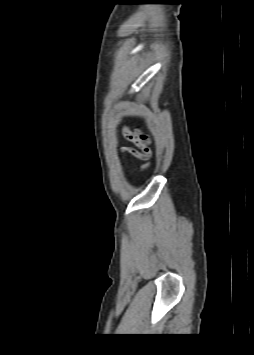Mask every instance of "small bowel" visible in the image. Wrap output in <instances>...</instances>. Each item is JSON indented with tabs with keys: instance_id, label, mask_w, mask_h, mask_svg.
I'll use <instances>...</instances> for the list:
<instances>
[{
	"instance_id": "1",
	"label": "small bowel",
	"mask_w": 254,
	"mask_h": 355,
	"mask_svg": "<svg viewBox=\"0 0 254 355\" xmlns=\"http://www.w3.org/2000/svg\"><path fill=\"white\" fill-rule=\"evenodd\" d=\"M123 133L124 136L131 142L135 143L139 148H141V151L133 148V147H129V146H124L121 148V152L122 153H126V154H130L138 159L141 160H148L150 158V152L148 149H146L144 147V145L142 143H140L135 137H133L129 131L127 127L123 128ZM151 167V163L147 162L145 164H143L140 168L138 173H143L145 171H147L149 168Z\"/></svg>"
}]
</instances>
